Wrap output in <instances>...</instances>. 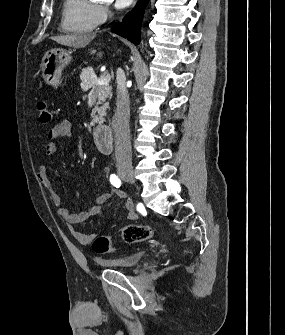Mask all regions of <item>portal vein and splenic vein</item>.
Segmentation results:
<instances>
[{
	"label": "portal vein and splenic vein",
	"instance_id": "18ae733b",
	"mask_svg": "<svg viewBox=\"0 0 285 335\" xmlns=\"http://www.w3.org/2000/svg\"><path fill=\"white\" fill-rule=\"evenodd\" d=\"M110 80L109 74H105V76H100V78L96 80V84H109Z\"/></svg>",
	"mask_w": 285,
	"mask_h": 335
}]
</instances>
